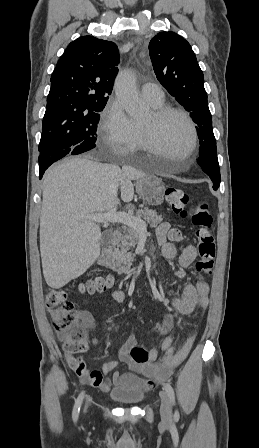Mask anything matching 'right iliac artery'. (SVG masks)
Here are the masks:
<instances>
[{
    "instance_id": "1",
    "label": "right iliac artery",
    "mask_w": 259,
    "mask_h": 448,
    "mask_svg": "<svg viewBox=\"0 0 259 448\" xmlns=\"http://www.w3.org/2000/svg\"><path fill=\"white\" fill-rule=\"evenodd\" d=\"M83 398H84V392H82V393L78 396V398H77V400H76V402H75V405H74V408H73V419H74L75 421L78 419L79 410H80V407H81Z\"/></svg>"
}]
</instances>
